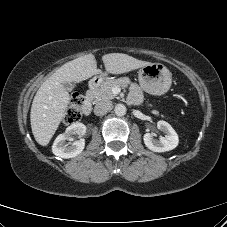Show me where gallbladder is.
<instances>
[{
    "instance_id": "1",
    "label": "gallbladder",
    "mask_w": 227,
    "mask_h": 227,
    "mask_svg": "<svg viewBox=\"0 0 227 227\" xmlns=\"http://www.w3.org/2000/svg\"><path fill=\"white\" fill-rule=\"evenodd\" d=\"M63 85H64L66 91H69V92L72 91L73 88H74V85L72 83H70V82H66Z\"/></svg>"
}]
</instances>
